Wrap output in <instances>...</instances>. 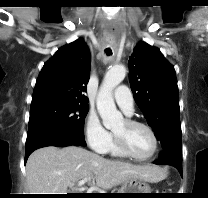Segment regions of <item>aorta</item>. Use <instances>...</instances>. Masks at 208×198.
I'll use <instances>...</instances> for the list:
<instances>
[{
  "label": "aorta",
  "mask_w": 208,
  "mask_h": 198,
  "mask_svg": "<svg viewBox=\"0 0 208 198\" xmlns=\"http://www.w3.org/2000/svg\"><path fill=\"white\" fill-rule=\"evenodd\" d=\"M125 75L126 68L123 65L111 67L104 76L97 96V110L103 125L108 129L123 120L122 114L116 108L112 92L123 81Z\"/></svg>",
  "instance_id": "1"
}]
</instances>
